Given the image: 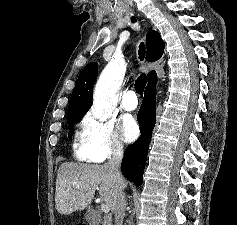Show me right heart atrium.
<instances>
[{
    "label": "right heart atrium",
    "mask_w": 237,
    "mask_h": 225,
    "mask_svg": "<svg viewBox=\"0 0 237 225\" xmlns=\"http://www.w3.org/2000/svg\"><path fill=\"white\" fill-rule=\"evenodd\" d=\"M75 150L82 160L100 163L122 156L124 146L112 122L88 113L80 123Z\"/></svg>",
    "instance_id": "1"
}]
</instances>
